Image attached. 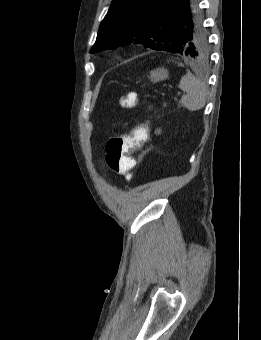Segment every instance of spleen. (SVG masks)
<instances>
[{
  "instance_id": "spleen-1",
  "label": "spleen",
  "mask_w": 261,
  "mask_h": 340,
  "mask_svg": "<svg viewBox=\"0 0 261 340\" xmlns=\"http://www.w3.org/2000/svg\"><path fill=\"white\" fill-rule=\"evenodd\" d=\"M179 88L186 92L180 100L183 107L193 112L205 106L208 95L207 87L192 73L188 72L181 78Z\"/></svg>"
}]
</instances>
